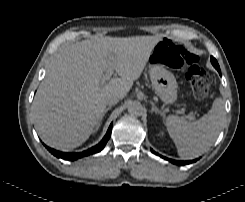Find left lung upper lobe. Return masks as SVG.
<instances>
[{"label": "left lung upper lobe", "instance_id": "left-lung-upper-lobe-1", "mask_svg": "<svg viewBox=\"0 0 245 202\" xmlns=\"http://www.w3.org/2000/svg\"><path fill=\"white\" fill-rule=\"evenodd\" d=\"M211 63L217 69V71L221 74L220 67H219L217 60L215 58L211 57Z\"/></svg>", "mask_w": 245, "mask_h": 202}]
</instances>
